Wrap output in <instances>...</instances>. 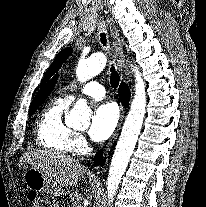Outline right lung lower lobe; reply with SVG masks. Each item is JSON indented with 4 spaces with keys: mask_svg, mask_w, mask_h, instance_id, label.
<instances>
[{
    "mask_svg": "<svg viewBox=\"0 0 206 207\" xmlns=\"http://www.w3.org/2000/svg\"><path fill=\"white\" fill-rule=\"evenodd\" d=\"M119 98L121 100V103L123 104V106L126 108L128 106L129 100H130V91L128 86L122 82L120 87H119ZM102 151H99L95 158H94V163L95 165L98 164H103L104 162L101 160L102 158Z\"/></svg>",
    "mask_w": 206,
    "mask_h": 207,
    "instance_id": "right-lung-lower-lobe-1",
    "label": "right lung lower lobe"
}]
</instances>
